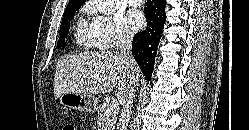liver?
Returning <instances> with one entry per match:
<instances>
[{
	"instance_id": "obj_1",
	"label": "liver",
	"mask_w": 249,
	"mask_h": 130,
	"mask_svg": "<svg viewBox=\"0 0 249 130\" xmlns=\"http://www.w3.org/2000/svg\"><path fill=\"white\" fill-rule=\"evenodd\" d=\"M136 68L139 80L140 70ZM114 89L121 104L129 90V72L117 52H84L57 62L55 99L65 93L93 95L110 93Z\"/></svg>"
}]
</instances>
